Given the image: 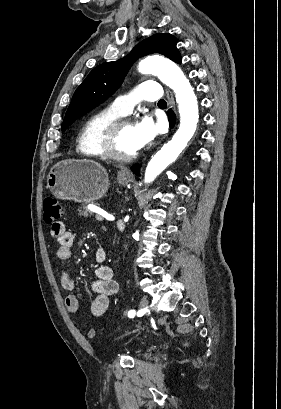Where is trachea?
<instances>
[{"label": "trachea", "instance_id": "1", "mask_svg": "<svg viewBox=\"0 0 281 409\" xmlns=\"http://www.w3.org/2000/svg\"><path fill=\"white\" fill-rule=\"evenodd\" d=\"M158 104H163V105H167L166 101L164 99H160Z\"/></svg>", "mask_w": 281, "mask_h": 409}]
</instances>
